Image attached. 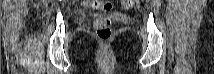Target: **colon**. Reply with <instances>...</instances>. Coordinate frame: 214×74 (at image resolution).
<instances>
[{
  "label": "colon",
  "mask_w": 214,
  "mask_h": 74,
  "mask_svg": "<svg viewBox=\"0 0 214 74\" xmlns=\"http://www.w3.org/2000/svg\"><path fill=\"white\" fill-rule=\"evenodd\" d=\"M121 5L125 9H130L134 6L133 0H121ZM85 7H91L93 9L102 11H111L113 9V3L111 1H85ZM97 35L102 39H107L111 36L113 31V22L110 18H103L96 22Z\"/></svg>",
  "instance_id": "obj_1"
}]
</instances>
